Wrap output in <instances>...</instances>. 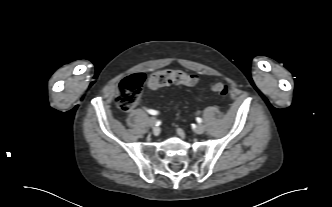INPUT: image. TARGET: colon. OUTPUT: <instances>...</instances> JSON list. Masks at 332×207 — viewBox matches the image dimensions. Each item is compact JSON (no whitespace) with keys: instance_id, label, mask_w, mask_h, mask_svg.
I'll return each mask as SVG.
<instances>
[{"instance_id":"colon-1","label":"colon","mask_w":332,"mask_h":207,"mask_svg":"<svg viewBox=\"0 0 332 207\" xmlns=\"http://www.w3.org/2000/svg\"><path fill=\"white\" fill-rule=\"evenodd\" d=\"M145 82L143 73H135L124 78L117 90L116 103L122 111H130L138 101L142 87ZM198 79L195 75L185 73L181 70L166 69L153 73L148 79V86L155 90L169 85L195 86ZM211 90L219 95H226L229 91L228 84L216 82L212 84Z\"/></svg>"}]
</instances>
